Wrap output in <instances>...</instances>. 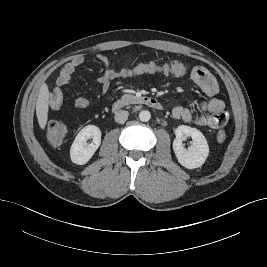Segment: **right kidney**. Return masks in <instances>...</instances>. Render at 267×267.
<instances>
[{"label":"right kidney","mask_w":267,"mask_h":267,"mask_svg":"<svg viewBox=\"0 0 267 267\" xmlns=\"http://www.w3.org/2000/svg\"><path fill=\"white\" fill-rule=\"evenodd\" d=\"M88 139H92L90 144ZM101 144V130L95 125H87L75 137L70 148L71 161L78 165L86 164Z\"/></svg>","instance_id":"obj_1"}]
</instances>
